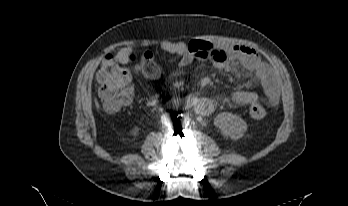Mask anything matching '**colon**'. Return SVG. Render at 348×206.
Returning a JSON list of instances; mask_svg holds the SVG:
<instances>
[{"mask_svg": "<svg viewBox=\"0 0 348 206\" xmlns=\"http://www.w3.org/2000/svg\"><path fill=\"white\" fill-rule=\"evenodd\" d=\"M128 59L136 62L138 68L148 77H156L160 73L151 52H145L140 56L130 54ZM97 82L99 95L107 112H116L131 102V73L115 56L109 55L103 60L97 74ZM268 108L269 102L263 99L250 107L249 114L253 119L260 120L266 116Z\"/></svg>", "mask_w": 348, "mask_h": 206, "instance_id": "colon-1", "label": "colon"}]
</instances>
